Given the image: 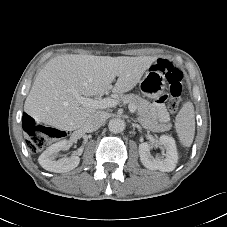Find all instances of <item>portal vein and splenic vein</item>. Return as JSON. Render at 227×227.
I'll use <instances>...</instances> for the list:
<instances>
[{
	"label": "portal vein and splenic vein",
	"instance_id": "obj_1",
	"mask_svg": "<svg viewBox=\"0 0 227 227\" xmlns=\"http://www.w3.org/2000/svg\"><path fill=\"white\" fill-rule=\"evenodd\" d=\"M71 92L76 96L77 100L85 107H92L95 109H105L109 107H114L119 104V101L115 99H111V98L92 99V98L81 96L75 90H71ZM128 108L131 113H135L136 111L135 105L129 104Z\"/></svg>",
	"mask_w": 227,
	"mask_h": 227
}]
</instances>
